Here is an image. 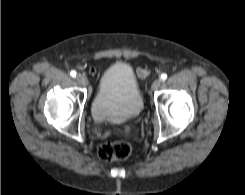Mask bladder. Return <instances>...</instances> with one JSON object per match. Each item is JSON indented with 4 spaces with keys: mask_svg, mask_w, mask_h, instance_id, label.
Instances as JSON below:
<instances>
[{
    "mask_svg": "<svg viewBox=\"0 0 245 195\" xmlns=\"http://www.w3.org/2000/svg\"><path fill=\"white\" fill-rule=\"evenodd\" d=\"M143 98L132 68L123 62L108 67L102 74L91 104L96 122L123 123L141 113Z\"/></svg>",
    "mask_w": 245,
    "mask_h": 195,
    "instance_id": "bladder-1",
    "label": "bladder"
}]
</instances>
